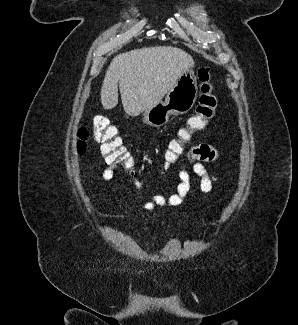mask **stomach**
<instances>
[{"label":"stomach","mask_w":298,"mask_h":325,"mask_svg":"<svg viewBox=\"0 0 298 325\" xmlns=\"http://www.w3.org/2000/svg\"><path fill=\"white\" fill-rule=\"evenodd\" d=\"M198 96L197 78L193 68H189L177 78L173 88L168 90L165 100L154 104L143 112V120L150 126H162L171 114H185L194 106Z\"/></svg>","instance_id":"1"}]
</instances>
